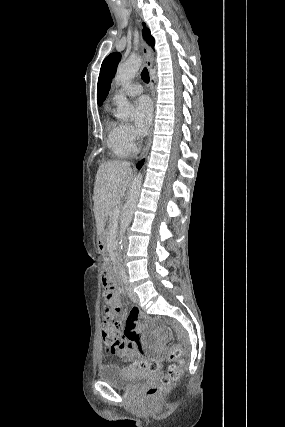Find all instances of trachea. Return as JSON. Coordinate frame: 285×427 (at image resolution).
I'll list each match as a JSON object with an SVG mask.
<instances>
[{
	"label": "trachea",
	"mask_w": 285,
	"mask_h": 427,
	"mask_svg": "<svg viewBox=\"0 0 285 427\" xmlns=\"http://www.w3.org/2000/svg\"><path fill=\"white\" fill-rule=\"evenodd\" d=\"M141 78L145 83H149V73L147 68H144L143 71L141 72Z\"/></svg>",
	"instance_id": "obj_1"
}]
</instances>
